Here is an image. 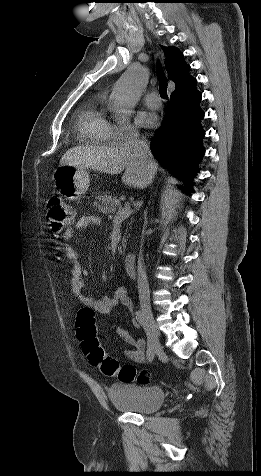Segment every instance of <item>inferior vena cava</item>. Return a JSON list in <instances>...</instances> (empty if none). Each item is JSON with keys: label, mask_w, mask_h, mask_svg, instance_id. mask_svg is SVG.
<instances>
[{"label": "inferior vena cava", "mask_w": 261, "mask_h": 476, "mask_svg": "<svg viewBox=\"0 0 261 476\" xmlns=\"http://www.w3.org/2000/svg\"><path fill=\"white\" fill-rule=\"evenodd\" d=\"M124 148L127 151L132 152L133 156L137 158L142 165L146 167V170L152 171L154 164L152 155L150 152L149 144L146 140H141L138 133L132 132L127 136L124 144ZM138 292L141 307L150 309V291L149 284L145 272V268L142 263V256L138 261Z\"/></svg>", "instance_id": "inferior-vena-cava-1"}]
</instances>
